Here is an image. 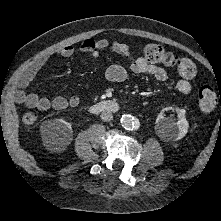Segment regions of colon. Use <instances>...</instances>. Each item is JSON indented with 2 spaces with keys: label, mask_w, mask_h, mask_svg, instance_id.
<instances>
[{
  "label": "colon",
  "mask_w": 221,
  "mask_h": 221,
  "mask_svg": "<svg viewBox=\"0 0 221 221\" xmlns=\"http://www.w3.org/2000/svg\"><path fill=\"white\" fill-rule=\"evenodd\" d=\"M146 60L150 63H162L166 67L176 68L178 74L185 79H193L197 75V66L189 58L179 57L168 52L157 43H146L141 46ZM218 98L213 88L203 86L199 90V107L201 112L208 113L217 106ZM38 113L25 111L21 115V123L25 128H33L38 123Z\"/></svg>",
  "instance_id": "1"
}]
</instances>
